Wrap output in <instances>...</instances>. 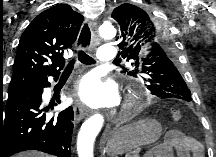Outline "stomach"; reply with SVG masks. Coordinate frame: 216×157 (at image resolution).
<instances>
[{
  "label": "stomach",
  "mask_w": 216,
  "mask_h": 157,
  "mask_svg": "<svg viewBox=\"0 0 216 157\" xmlns=\"http://www.w3.org/2000/svg\"><path fill=\"white\" fill-rule=\"evenodd\" d=\"M161 124L154 119H144L115 130L107 138L108 155H122L131 150L155 142L161 136Z\"/></svg>",
  "instance_id": "0dacf381"
}]
</instances>
